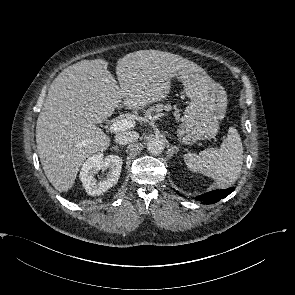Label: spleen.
I'll return each instance as SVG.
<instances>
[{
    "mask_svg": "<svg viewBox=\"0 0 295 295\" xmlns=\"http://www.w3.org/2000/svg\"><path fill=\"white\" fill-rule=\"evenodd\" d=\"M184 160L191 171L212 177L219 187H228L241 174L243 147L240 135L234 127H230L219 149L208 148L199 155L187 153Z\"/></svg>",
    "mask_w": 295,
    "mask_h": 295,
    "instance_id": "1",
    "label": "spleen"
}]
</instances>
